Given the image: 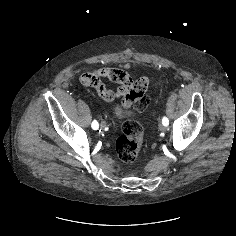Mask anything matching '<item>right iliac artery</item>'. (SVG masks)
I'll return each mask as SVG.
<instances>
[{
    "mask_svg": "<svg viewBox=\"0 0 236 236\" xmlns=\"http://www.w3.org/2000/svg\"><path fill=\"white\" fill-rule=\"evenodd\" d=\"M92 128L94 129V130H96V129H98V127H99V124H98V122L96 121V120H94L93 122H92Z\"/></svg>",
    "mask_w": 236,
    "mask_h": 236,
    "instance_id": "right-iliac-artery-1",
    "label": "right iliac artery"
}]
</instances>
